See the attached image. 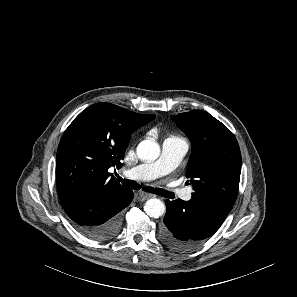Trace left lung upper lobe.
<instances>
[{"mask_svg":"<svg viewBox=\"0 0 297 297\" xmlns=\"http://www.w3.org/2000/svg\"><path fill=\"white\" fill-rule=\"evenodd\" d=\"M172 120L192 143L186 174L193 185L192 199L234 204L241 172V154L234 134L201 110L172 115Z\"/></svg>","mask_w":297,"mask_h":297,"instance_id":"1","label":"left lung upper lobe"}]
</instances>
